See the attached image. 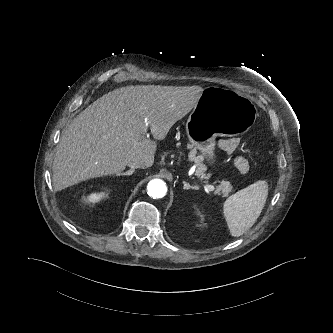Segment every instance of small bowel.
I'll use <instances>...</instances> for the list:
<instances>
[{
	"label": "small bowel",
	"instance_id": "1",
	"mask_svg": "<svg viewBox=\"0 0 333 333\" xmlns=\"http://www.w3.org/2000/svg\"><path fill=\"white\" fill-rule=\"evenodd\" d=\"M218 149L231 161L235 170L241 174L249 171V163L239 153L240 140L238 138L221 139L217 143Z\"/></svg>",
	"mask_w": 333,
	"mask_h": 333
}]
</instances>
